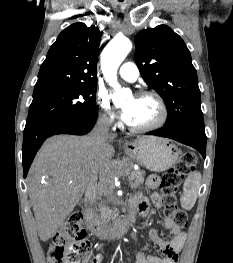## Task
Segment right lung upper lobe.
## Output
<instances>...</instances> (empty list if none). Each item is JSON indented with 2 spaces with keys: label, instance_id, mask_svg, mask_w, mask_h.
Listing matches in <instances>:
<instances>
[{
  "label": "right lung upper lobe",
  "instance_id": "1",
  "mask_svg": "<svg viewBox=\"0 0 233 263\" xmlns=\"http://www.w3.org/2000/svg\"><path fill=\"white\" fill-rule=\"evenodd\" d=\"M101 33L75 23L64 29L40 67L33 95L77 85H96Z\"/></svg>",
  "mask_w": 233,
  "mask_h": 263
}]
</instances>
